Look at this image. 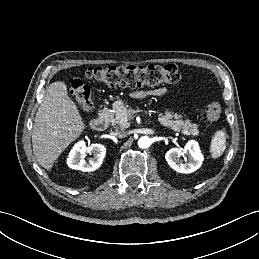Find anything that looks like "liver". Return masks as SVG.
<instances>
[{"label":"liver","mask_w":259,"mask_h":259,"mask_svg":"<svg viewBox=\"0 0 259 259\" xmlns=\"http://www.w3.org/2000/svg\"><path fill=\"white\" fill-rule=\"evenodd\" d=\"M32 130L33 152L38 163L51 170L59 155L86 128L76 104L62 81L51 83L40 104Z\"/></svg>","instance_id":"obj_1"}]
</instances>
